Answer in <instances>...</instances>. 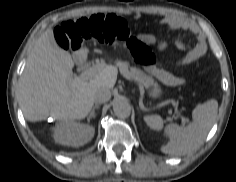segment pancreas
<instances>
[{
  "label": "pancreas",
  "instance_id": "obj_1",
  "mask_svg": "<svg viewBox=\"0 0 236 182\" xmlns=\"http://www.w3.org/2000/svg\"><path fill=\"white\" fill-rule=\"evenodd\" d=\"M118 67L120 69L121 74L130 80L135 81L136 83L144 86L145 88L150 87L151 85H154V80L146 75L142 70L130 67L127 63H119Z\"/></svg>",
  "mask_w": 236,
  "mask_h": 182
}]
</instances>
